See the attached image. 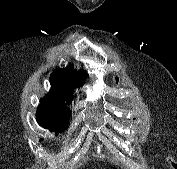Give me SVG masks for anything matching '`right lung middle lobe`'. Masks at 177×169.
Instances as JSON below:
<instances>
[{"label": "right lung middle lobe", "instance_id": "dd1d6c3e", "mask_svg": "<svg viewBox=\"0 0 177 169\" xmlns=\"http://www.w3.org/2000/svg\"><path fill=\"white\" fill-rule=\"evenodd\" d=\"M70 101L66 102L68 104ZM70 111L65 103L52 106L49 109L39 106L37 112V122L41 127L56 133L63 132L69 121Z\"/></svg>", "mask_w": 177, "mask_h": 169}]
</instances>
